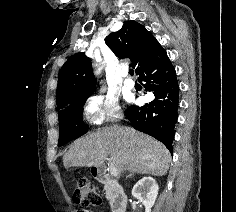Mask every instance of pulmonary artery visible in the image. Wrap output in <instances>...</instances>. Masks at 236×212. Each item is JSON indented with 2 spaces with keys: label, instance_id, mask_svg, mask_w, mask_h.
Returning <instances> with one entry per match:
<instances>
[{
  "label": "pulmonary artery",
  "instance_id": "obj_1",
  "mask_svg": "<svg viewBox=\"0 0 236 212\" xmlns=\"http://www.w3.org/2000/svg\"><path fill=\"white\" fill-rule=\"evenodd\" d=\"M123 76L125 77L124 82H123L124 86L129 88V89H132L134 87V81L127 77L126 72L123 73Z\"/></svg>",
  "mask_w": 236,
  "mask_h": 212
}]
</instances>
